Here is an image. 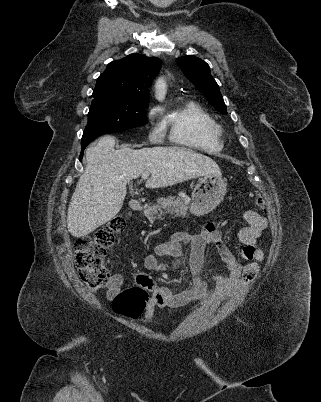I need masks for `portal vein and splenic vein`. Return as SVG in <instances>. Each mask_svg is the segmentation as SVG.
<instances>
[{"instance_id":"portal-vein-and-splenic-vein-1","label":"portal vein and splenic vein","mask_w":321,"mask_h":402,"mask_svg":"<svg viewBox=\"0 0 321 402\" xmlns=\"http://www.w3.org/2000/svg\"><path fill=\"white\" fill-rule=\"evenodd\" d=\"M141 177H142V179H147V178L149 177V173H148V172H144V173L141 175Z\"/></svg>"}]
</instances>
